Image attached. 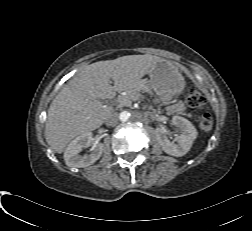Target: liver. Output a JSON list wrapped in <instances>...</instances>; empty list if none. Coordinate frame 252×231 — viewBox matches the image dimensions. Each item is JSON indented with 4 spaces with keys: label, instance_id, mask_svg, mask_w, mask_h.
<instances>
[{
    "label": "liver",
    "instance_id": "1",
    "mask_svg": "<svg viewBox=\"0 0 252 231\" xmlns=\"http://www.w3.org/2000/svg\"><path fill=\"white\" fill-rule=\"evenodd\" d=\"M160 59L148 54L128 55L82 69L50 104L45 124L48 145L56 153H62L73 138L99 128L113 112L101 100L113 98L116 92L137 91L141 78Z\"/></svg>",
    "mask_w": 252,
    "mask_h": 231
}]
</instances>
